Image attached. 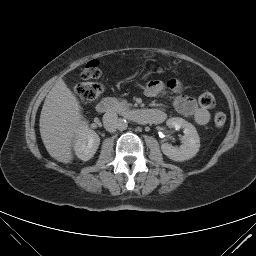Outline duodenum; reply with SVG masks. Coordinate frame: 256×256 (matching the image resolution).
<instances>
[{
	"mask_svg": "<svg viewBox=\"0 0 256 256\" xmlns=\"http://www.w3.org/2000/svg\"><path fill=\"white\" fill-rule=\"evenodd\" d=\"M116 108L117 103L112 98H105L96 106V110L99 113H108ZM127 115L139 124L157 123L161 119L160 113L150 109H132L127 112Z\"/></svg>",
	"mask_w": 256,
	"mask_h": 256,
	"instance_id": "1",
	"label": "duodenum"
}]
</instances>
